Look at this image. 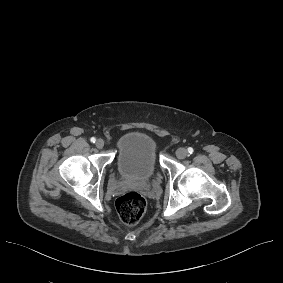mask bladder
I'll list each match as a JSON object with an SVG mask.
<instances>
[{"mask_svg":"<svg viewBox=\"0 0 283 283\" xmlns=\"http://www.w3.org/2000/svg\"><path fill=\"white\" fill-rule=\"evenodd\" d=\"M117 166L124 177L147 179L158 170V150L148 135L132 132L120 144Z\"/></svg>","mask_w":283,"mask_h":283,"instance_id":"bladder-1","label":"bladder"}]
</instances>
